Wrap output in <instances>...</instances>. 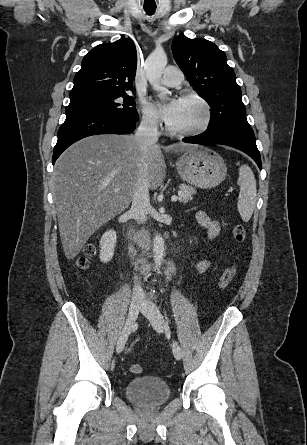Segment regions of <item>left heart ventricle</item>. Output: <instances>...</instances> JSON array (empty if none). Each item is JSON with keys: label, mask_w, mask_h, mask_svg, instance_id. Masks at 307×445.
Returning a JSON list of instances; mask_svg holds the SVG:
<instances>
[{"label": "left heart ventricle", "mask_w": 307, "mask_h": 445, "mask_svg": "<svg viewBox=\"0 0 307 445\" xmlns=\"http://www.w3.org/2000/svg\"><path fill=\"white\" fill-rule=\"evenodd\" d=\"M204 117L199 104L190 100H182L176 118L169 124L175 130L190 129L201 123Z\"/></svg>", "instance_id": "b2bd125f"}]
</instances>
